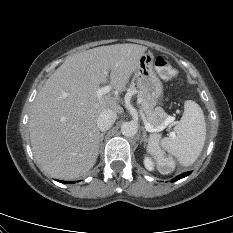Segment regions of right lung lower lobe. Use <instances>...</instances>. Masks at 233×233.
<instances>
[{"instance_id": "right-lung-lower-lobe-1", "label": "right lung lower lobe", "mask_w": 233, "mask_h": 233, "mask_svg": "<svg viewBox=\"0 0 233 233\" xmlns=\"http://www.w3.org/2000/svg\"><path fill=\"white\" fill-rule=\"evenodd\" d=\"M60 182H62V183H65V184H67V183H75V181H71V182H67V181H60Z\"/></svg>"}]
</instances>
